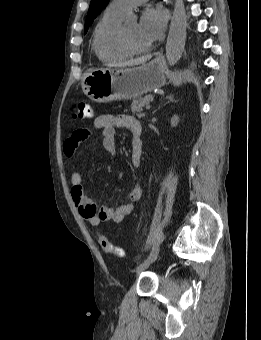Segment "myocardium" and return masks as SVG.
Listing matches in <instances>:
<instances>
[{
  "label": "myocardium",
  "mask_w": 261,
  "mask_h": 340,
  "mask_svg": "<svg viewBox=\"0 0 261 340\" xmlns=\"http://www.w3.org/2000/svg\"><path fill=\"white\" fill-rule=\"evenodd\" d=\"M119 44L121 48L129 55H139V54L146 53L150 50V46L143 48V49L135 48L129 40V37L125 30V26H121L120 28Z\"/></svg>",
  "instance_id": "f54148a6"
}]
</instances>
